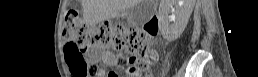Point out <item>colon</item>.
Returning <instances> with one entry per match:
<instances>
[{"instance_id": "colon-1", "label": "colon", "mask_w": 258, "mask_h": 77, "mask_svg": "<svg viewBox=\"0 0 258 77\" xmlns=\"http://www.w3.org/2000/svg\"><path fill=\"white\" fill-rule=\"evenodd\" d=\"M151 33H140L121 24L102 22L96 26L86 23L73 10L66 13L63 37L65 59L70 66L73 77H85L94 73V67L86 61V52L102 48L125 50L129 58L122 64L126 67L127 77L151 74L149 53L152 44Z\"/></svg>"}]
</instances>
